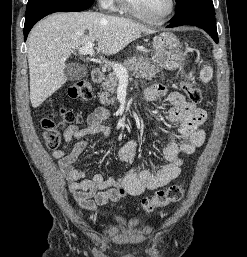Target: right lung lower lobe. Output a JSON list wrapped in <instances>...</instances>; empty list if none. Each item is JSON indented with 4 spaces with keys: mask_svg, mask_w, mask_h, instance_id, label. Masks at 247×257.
Wrapping results in <instances>:
<instances>
[{
    "mask_svg": "<svg viewBox=\"0 0 247 257\" xmlns=\"http://www.w3.org/2000/svg\"><path fill=\"white\" fill-rule=\"evenodd\" d=\"M93 0H32L25 13L24 40L31 28L43 17L55 12H78L91 7Z\"/></svg>",
    "mask_w": 247,
    "mask_h": 257,
    "instance_id": "right-lung-lower-lobe-1",
    "label": "right lung lower lobe"
}]
</instances>
